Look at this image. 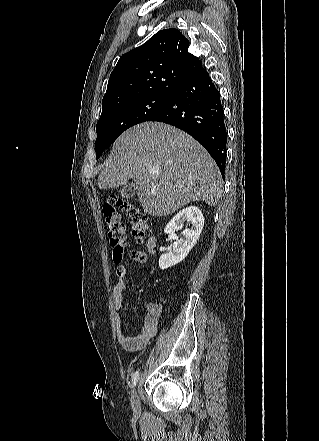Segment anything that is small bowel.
Listing matches in <instances>:
<instances>
[{
	"label": "small bowel",
	"mask_w": 319,
	"mask_h": 441,
	"mask_svg": "<svg viewBox=\"0 0 319 441\" xmlns=\"http://www.w3.org/2000/svg\"><path fill=\"white\" fill-rule=\"evenodd\" d=\"M129 257L139 264L147 261V255L142 251H130ZM127 267L118 265L116 268V281L112 288V302L115 310V324L117 329V341L127 351H141L147 347L150 341L157 335L159 318L162 312L160 301H150L146 304L147 315L141 332L135 336L127 335L122 328L120 310L122 306L123 291L125 289V278Z\"/></svg>",
	"instance_id": "1"
}]
</instances>
